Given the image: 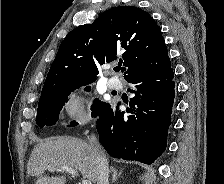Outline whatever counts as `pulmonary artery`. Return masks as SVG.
I'll use <instances>...</instances> for the list:
<instances>
[{
  "label": "pulmonary artery",
  "mask_w": 224,
  "mask_h": 184,
  "mask_svg": "<svg viewBox=\"0 0 224 184\" xmlns=\"http://www.w3.org/2000/svg\"><path fill=\"white\" fill-rule=\"evenodd\" d=\"M107 86L110 89H120L122 87L121 81L117 77H110L107 80Z\"/></svg>",
  "instance_id": "pulmonary-artery-1"
}]
</instances>
